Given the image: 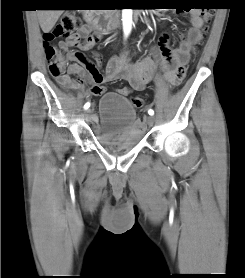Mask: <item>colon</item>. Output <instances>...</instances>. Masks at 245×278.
<instances>
[{"label":"colon","mask_w":245,"mask_h":278,"mask_svg":"<svg viewBox=\"0 0 245 278\" xmlns=\"http://www.w3.org/2000/svg\"><path fill=\"white\" fill-rule=\"evenodd\" d=\"M206 12L202 19V29L205 30L209 23L208 13L212 11L211 5H203L201 7ZM80 28V19L72 13L63 14L54 28L44 32L43 42L45 47V54L48 62V69L50 74L65 84H69V81L65 79V69L69 62L78 61L81 62L85 59V55L82 51H73L69 45L59 44L56 45L55 41L62 37L69 36L73 31ZM179 79L173 82L174 85H178ZM117 93L122 96H129L130 90L127 87L117 88ZM131 103L139 108L144 104V99L140 96L131 98Z\"/></svg>","instance_id":"obj_1"}]
</instances>
